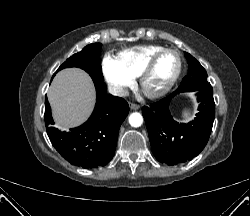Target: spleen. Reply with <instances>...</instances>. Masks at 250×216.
<instances>
[{"instance_id":"3e777b00","label":"spleen","mask_w":250,"mask_h":216,"mask_svg":"<svg viewBox=\"0 0 250 216\" xmlns=\"http://www.w3.org/2000/svg\"><path fill=\"white\" fill-rule=\"evenodd\" d=\"M184 119L188 120L189 119V115L187 113L184 114Z\"/></svg>"}]
</instances>
